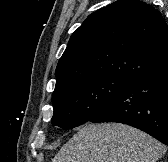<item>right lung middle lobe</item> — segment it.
<instances>
[{
	"mask_svg": "<svg viewBox=\"0 0 168 162\" xmlns=\"http://www.w3.org/2000/svg\"><path fill=\"white\" fill-rule=\"evenodd\" d=\"M132 80L105 75L53 92L52 125L71 129L92 120Z\"/></svg>",
	"mask_w": 168,
	"mask_h": 162,
	"instance_id": "dd1d6c3e",
	"label": "right lung middle lobe"
}]
</instances>
